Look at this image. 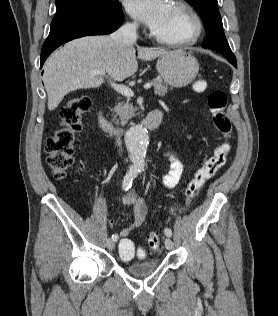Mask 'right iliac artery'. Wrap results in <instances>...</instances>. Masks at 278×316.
<instances>
[{
    "label": "right iliac artery",
    "mask_w": 278,
    "mask_h": 316,
    "mask_svg": "<svg viewBox=\"0 0 278 316\" xmlns=\"http://www.w3.org/2000/svg\"><path fill=\"white\" fill-rule=\"evenodd\" d=\"M139 170L136 167H130L126 175L124 176L123 182H122V188L127 191L129 188H131L132 181L137 177ZM112 239L114 241L118 240V235L113 234Z\"/></svg>",
    "instance_id": "82829eb1"
}]
</instances>
